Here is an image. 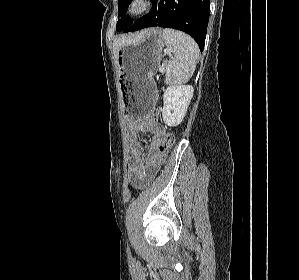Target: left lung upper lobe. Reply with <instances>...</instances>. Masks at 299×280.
Wrapping results in <instances>:
<instances>
[{
  "mask_svg": "<svg viewBox=\"0 0 299 280\" xmlns=\"http://www.w3.org/2000/svg\"><path fill=\"white\" fill-rule=\"evenodd\" d=\"M132 0H118V15L123 17L128 9L129 4ZM133 23L131 18H121L118 20L116 25V31H121L128 28Z\"/></svg>",
  "mask_w": 299,
  "mask_h": 280,
  "instance_id": "obj_1",
  "label": "left lung upper lobe"
}]
</instances>
